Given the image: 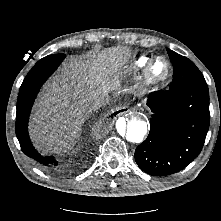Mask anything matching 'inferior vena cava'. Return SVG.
I'll return each instance as SVG.
<instances>
[{
	"mask_svg": "<svg viewBox=\"0 0 221 221\" xmlns=\"http://www.w3.org/2000/svg\"><path fill=\"white\" fill-rule=\"evenodd\" d=\"M109 101H110V99L108 96H100L92 102L91 109L96 110L101 107H105L106 105L109 104Z\"/></svg>",
	"mask_w": 221,
	"mask_h": 221,
	"instance_id": "inferior-vena-cava-1",
	"label": "inferior vena cava"
}]
</instances>
